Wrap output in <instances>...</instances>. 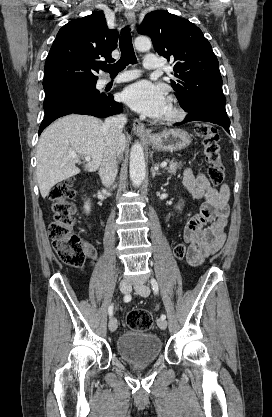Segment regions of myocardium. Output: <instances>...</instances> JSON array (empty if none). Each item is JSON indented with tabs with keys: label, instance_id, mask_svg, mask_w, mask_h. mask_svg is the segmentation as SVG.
<instances>
[{
	"label": "myocardium",
	"instance_id": "obj_1",
	"mask_svg": "<svg viewBox=\"0 0 272 417\" xmlns=\"http://www.w3.org/2000/svg\"><path fill=\"white\" fill-rule=\"evenodd\" d=\"M184 117V109L174 97H171L168 103V111L161 117V121L167 124H172L182 120Z\"/></svg>",
	"mask_w": 272,
	"mask_h": 417
}]
</instances>
